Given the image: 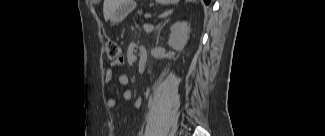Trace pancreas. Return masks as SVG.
<instances>
[{"mask_svg": "<svg viewBox=\"0 0 325 136\" xmlns=\"http://www.w3.org/2000/svg\"><path fill=\"white\" fill-rule=\"evenodd\" d=\"M149 9H147L146 5H139L137 12L131 13L132 23L140 22L142 16H149Z\"/></svg>", "mask_w": 325, "mask_h": 136, "instance_id": "pancreas-1", "label": "pancreas"}]
</instances>
